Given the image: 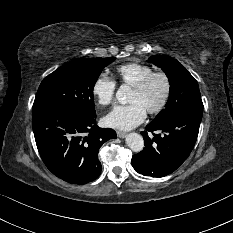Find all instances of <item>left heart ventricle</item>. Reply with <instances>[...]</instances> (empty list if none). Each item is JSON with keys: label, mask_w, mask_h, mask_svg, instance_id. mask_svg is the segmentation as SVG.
I'll use <instances>...</instances> for the list:
<instances>
[{"label": "left heart ventricle", "mask_w": 233, "mask_h": 233, "mask_svg": "<svg viewBox=\"0 0 233 233\" xmlns=\"http://www.w3.org/2000/svg\"><path fill=\"white\" fill-rule=\"evenodd\" d=\"M164 81L157 77L151 81L149 86L143 92L132 90L129 102L139 103L146 111L156 107L164 94Z\"/></svg>", "instance_id": "b2bd125f"}]
</instances>
